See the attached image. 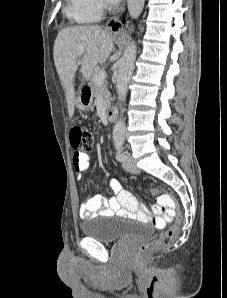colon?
<instances>
[{
    "label": "colon",
    "mask_w": 227,
    "mask_h": 298,
    "mask_svg": "<svg viewBox=\"0 0 227 298\" xmlns=\"http://www.w3.org/2000/svg\"><path fill=\"white\" fill-rule=\"evenodd\" d=\"M70 141L73 149L91 151L94 143V137L91 129L84 125H76L70 131ZM159 188L155 187L149 189V194H159ZM159 201L164 216L172 221L170 227L164 231L157 239L144 243L139 247V253L142 255L156 251L160 248L168 246L177 237L181 224L182 215L176 208L173 199L166 193L160 194ZM151 223L156 227L163 226V219L161 217H154L151 219Z\"/></svg>",
    "instance_id": "obj_1"
}]
</instances>
